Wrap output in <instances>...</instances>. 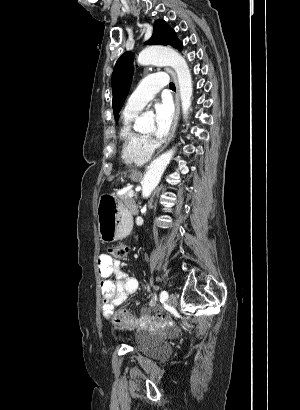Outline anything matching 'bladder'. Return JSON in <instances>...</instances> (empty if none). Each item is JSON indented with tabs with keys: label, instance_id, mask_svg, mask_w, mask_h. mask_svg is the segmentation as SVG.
Masks as SVG:
<instances>
[{
	"label": "bladder",
	"instance_id": "31cf9c89",
	"mask_svg": "<svg viewBox=\"0 0 300 410\" xmlns=\"http://www.w3.org/2000/svg\"><path fill=\"white\" fill-rule=\"evenodd\" d=\"M168 349V352H170V348L167 347V345L164 342H157V343H150L146 345H140L137 350L145 354L147 356H159L163 354L164 349Z\"/></svg>",
	"mask_w": 300,
	"mask_h": 410
}]
</instances>
